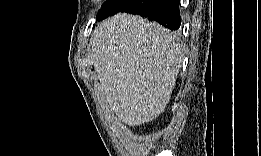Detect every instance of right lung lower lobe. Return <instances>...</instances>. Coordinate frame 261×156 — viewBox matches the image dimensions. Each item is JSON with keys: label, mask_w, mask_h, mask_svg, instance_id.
I'll list each match as a JSON object with an SVG mask.
<instances>
[{"label": "right lung lower lobe", "mask_w": 261, "mask_h": 156, "mask_svg": "<svg viewBox=\"0 0 261 156\" xmlns=\"http://www.w3.org/2000/svg\"><path fill=\"white\" fill-rule=\"evenodd\" d=\"M120 12L147 17L170 30H177L181 25L179 0H132Z\"/></svg>", "instance_id": "right-lung-lower-lobe-1"}]
</instances>
